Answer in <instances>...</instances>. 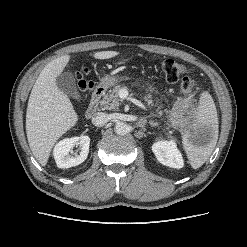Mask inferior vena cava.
Listing matches in <instances>:
<instances>
[{"mask_svg": "<svg viewBox=\"0 0 247 247\" xmlns=\"http://www.w3.org/2000/svg\"><path fill=\"white\" fill-rule=\"evenodd\" d=\"M109 121V117L106 113L98 112L92 117V123L94 126L102 127Z\"/></svg>", "mask_w": 247, "mask_h": 247, "instance_id": "1", "label": "inferior vena cava"}]
</instances>
